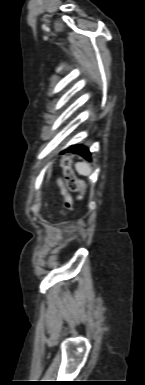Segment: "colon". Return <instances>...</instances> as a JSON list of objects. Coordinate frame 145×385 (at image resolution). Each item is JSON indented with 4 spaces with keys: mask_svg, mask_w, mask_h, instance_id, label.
Returning a JSON list of instances; mask_svg holds the SVG:
<instances>
[{
    "mask_svg": "<svg viewBox=\"0 0 145 385\" xmlns=\"http://www.w3.org/2000/svg\"><path fill=\"white\" fill-rule=\"evenodd\" d=\"M63 175L62 177L57 178V185L59 187L60 193L64 199V204L67 209L73 208V198L69 192L77 193V199L79 201L83 200L86 185L83 180L79 179L72 167L69 157H65L62 161Z\"/></svg>",
    "mask_w": 145,
    "mask_h": 385,
    "instance_id": "obj_1",
    "label": "colon"
}]
</instances>
